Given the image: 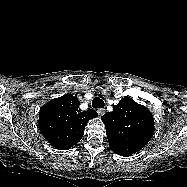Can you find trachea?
Instances as JSON below:
<instances>
[{
  "label": "trachea",
  "instance_id": "trachea-1",
  "mask_svg": "<svg viewBox=\"0 0 187 187\" xmlns=\"http://www.w3.org/2000/svg\"><path fill=\"white\" fill-rule=\"evenodd\" d=\"M104 105V101L99 97H95L92 101L93 108H104Z\"/></svg>",
  "mask_w": 187,
  "mask_h": 187
}]
</instances>
